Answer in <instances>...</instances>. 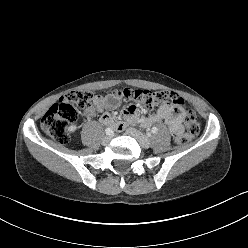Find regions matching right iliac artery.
I'll return each instance as SVG.
<instances>
[{
	"instance_id": "1",
	"label": "right iliac artery",
	"mask_w": 248,
	"mask_h": 248,
	"mask_svg": "<svg viewBox=\"0 0 248 248\" xmlns=\"http://www.w3.org/2000/svg\"><path fill=\"white\" fill-rule=\"evenodd\" d=\"M105 132L107 135H111L113 133L111 128H106Z\"/></svg>"
}]
</instances>
